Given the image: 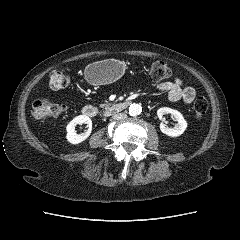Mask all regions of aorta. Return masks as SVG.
<instances>
[{
    "mask_svg": "<svg viewBox=\"0 0 240 240\" xmlns=\"http://www.w3.org/2000/svg\"><path fill=\"white\" fill-rule=\"evenodd\" d=\"M141 112H142L141 105L134 103L129 106V114L131 116H137V115L141 114Z\"/></svg>",
    "mask_w": 240,
    "mask_h": 240,
    "instance_id": "obj_1",
    "label": "aorta"
}]
</instances>
